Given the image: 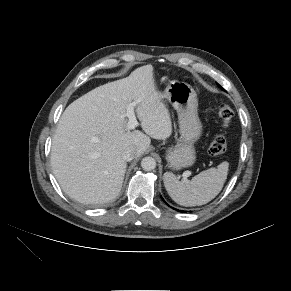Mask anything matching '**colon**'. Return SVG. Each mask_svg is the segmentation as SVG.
Instances as JSON below:
<instances>
[{
	"label": "colon",
	"instance_id": "obj_1",
	"mask_svg": "<svg viewBox=\"0 0 291 291\" xmlns=\"http://www.w3.org/2000/svg\"><path fill=\"white\" fill-rule=\"evenodd\" d=\"M218 115L222 122L223 128H228L233 119V110L231 106L224 100L218 102ZM227 150V138L225 134L217 135L209 145V153L213 156L221 155Z\"/></svg>",
	"mask_w": 291,
	"mask_h": 291
}]
</instances>
